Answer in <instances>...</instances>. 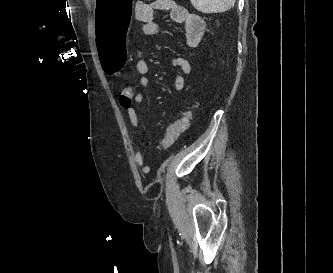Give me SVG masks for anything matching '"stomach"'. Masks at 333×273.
<instances>
[{"instance_id": "1", "label": "stomach", "mask_w": 333, "mask_h": 273, "mask_svg": "<svg viewBox=\"0 0 333 273\" xmlns=\"http://www.w3.org/2000/svg\"><path fill=\"white\" fill-rule=\"evenodd\" d=\"M134 0H95L96 38H127L135 23ZM127 39H96L95 51L104 75H121L129 65Z\"/></svg>"}]
</instances>
